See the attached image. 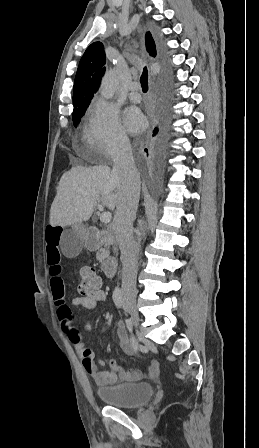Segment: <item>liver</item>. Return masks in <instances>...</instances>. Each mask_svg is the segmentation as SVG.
Masks as SVG:
<instances>
[{"mask_svg": "<svg viewBox=\"0 0 259 448\" xmlns=\"http://www.w3.org/2000/svg\"><path fill=\"white\" fill-rule=\"evenodd\" d=\"M118 176L109 166H76L63 174L50 210L51 226H72L90 220L97 202L115 210Z\"/></svg>", "mask_w": 259, "mask_h": 448, "instance_id": "1", "label": "liver"}]
</instances>
